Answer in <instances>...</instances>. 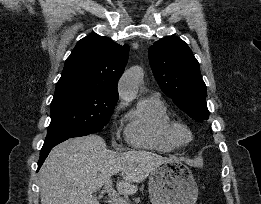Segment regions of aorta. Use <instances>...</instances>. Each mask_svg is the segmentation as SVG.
Wrapping results in <instances>:
<instances>
[{"label": "aorta", "instance_id": "aorta-1", "mask_svg": "<svg viewBox=\"0 0 261 204\" xmlns=\"http://www.w3.org/2000/svg\"><path fill=\"white\" fill-rule=\"evenodd\" d=\"M143 76L142 68L134 66L122 75L119 82V94L122 98L130 100L136 97Z\"/></svg>", "mask_w": 261, "mask_h": 204}]
</instances>
